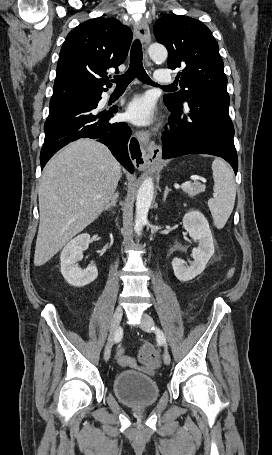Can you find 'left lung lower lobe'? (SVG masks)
<instances>
[{"instance_id":"left-lung-lower-lobe-1","label":"left lung lower lobe","mask_w":272,"mask_h":455,"mask_svg":"<svg viewBox=\"0 0 272 455\" xmlns=\"http://www.w3.org/2000/svg\"><path fill=\"white\" fill-rule=\"evenodd\" d=\"M164 102L172 112L169 129L162 136L164 159L210 154L225 159L237 173L238 157L228 94L201 93L186 101L184 106Z\"/></svg>"}]
</instances>
